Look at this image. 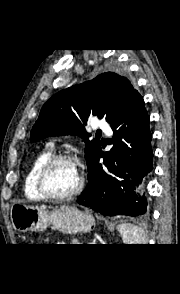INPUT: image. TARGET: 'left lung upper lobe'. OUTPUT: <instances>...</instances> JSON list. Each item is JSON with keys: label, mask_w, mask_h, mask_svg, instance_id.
<instances>
[{"label": "left lung upper lobe", "mask_w": 180, "mask_h": 294, "mask_svg": "<svg viewBox=\"0 0 180 294\" xmlns=\"http://www.w3.org/2000/svg\"><path fill=\"white\" fill-rule=\"evenodd\" d=\"M138 93L131 82L115 72L98 75L91 81L72 86L52 96L42 107L30 141L47 136L73 134L84 138L87 166L99 151L100 141L88 140L84 128L90 115L110 124Z\"/></svg>", "instance_id": "left-lung-upper-lobe-1"}]
</instances>
